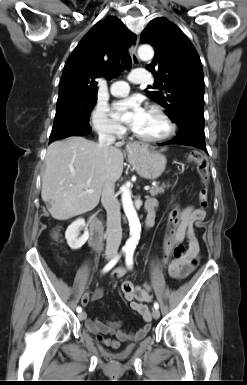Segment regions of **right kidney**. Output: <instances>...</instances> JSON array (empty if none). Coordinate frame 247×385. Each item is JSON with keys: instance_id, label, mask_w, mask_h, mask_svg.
<instances>
[{"instance_id": "right-kidney-1", "label": "right kidney", "mask_w": 247, "mask_h": 385, "mask_svg": "<svg viewBox=\"0 0 247 385\" xmlns=\"http://www.w3.org/2000/svg\"><path fill=\"white\" fill-rule=\"evenodd\" d=\"M81 229H84V234L81 237H78ZM65 238L72 250L80 249L89 238V232L86 227L85 220L83 218H79L71 223L65 232Z\"/></svg>"}]
</instances>
